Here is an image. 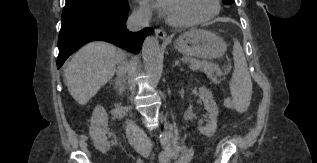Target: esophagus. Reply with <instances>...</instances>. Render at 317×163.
I'll use <instances>...</instances> for the list:
<instances>
[{"label":"esophagus","instance_id":"esophagus-1","mask_svg":"<svg viewBox=\"0 0 317 163\" xmlns=\"http://www.w3.org/2000/svg\"><path fill=\"white\" fill-rule=\"evenodd\" d=\"M154 31H155V35H156L159 39H161V40H163V41L168 40V38H167V33H166L163 29H158V28H156Z\"/></svg>","mask_w":317,"mask_h":163}]
</instances>
